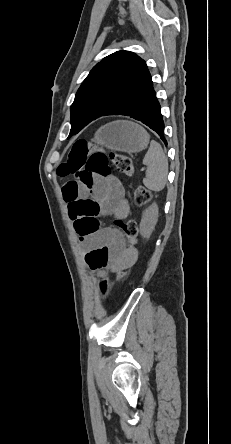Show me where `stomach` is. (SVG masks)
<instances>
[{
	"label": "stomach",
	"mask_w": 231,
	"mask_h": 444,
	"mask_svg": "<svg viewBox=\"0 0 231 444\" xmlns=\"http://www.w3.org/2000/svg\"><path fill=\"white\" fill-rule=\"evenodd\" d=\"M93 141L110 150L140 152L148 146L149 135L140 125L130 121H115L101 127Z\"/></svg>",
	"instance_id": "1"
}]
</instances>
